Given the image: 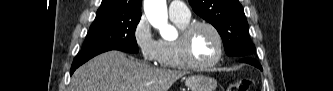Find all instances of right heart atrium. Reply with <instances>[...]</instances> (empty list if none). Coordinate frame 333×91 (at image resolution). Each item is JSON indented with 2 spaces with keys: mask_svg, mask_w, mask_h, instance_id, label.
Listing matches in <instances>:
<instances>
[{
  "mask_svg": "<svg viewBox=\"0 0 333 91\" xmlns=\"http://www.w3.org/2000/svg\"><path fill=\"white\" fill-rule=\"evenodd\" d=\"M132 37L142 58L147 62H157L159 54V40L151 30L147 19L142 16L133 27Z\"/></svg>",
  "mask_w": 333,
  "mask_h": 91,
  "instance_id": "d8ad5b80",
  "label": "right heart atrium"
}]
</instances>
